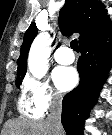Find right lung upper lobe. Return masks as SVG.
Returning <instances> with one entry per match:
<instances>
[{"label": "right lung upper lobe", "instance_id": "right-lung-upper-lobe-1", "mask_svg": "<svg viewBox=\"0 0 112 135\" xmlns=\"http://www.w3.org/2000/svg\"><path fill=\"white\" fill-rule=\"evenodd\" d=\"M59 27L63 35L79 33V44L89 41L112 29L104 5L98 0H66L60 10ZM37 35V27L32 22L27 29L18 59L17 79L24 78L30 45Z\"/></svg>", "mask_w": 112, "mask_h": 135}]
</instances>
